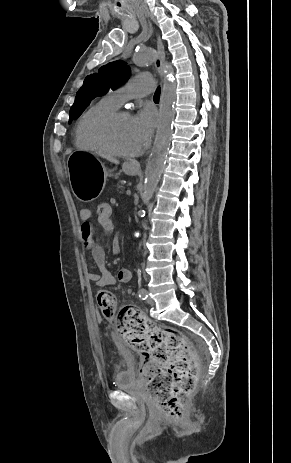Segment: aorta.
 Returning a JSON list of instances; mask_svg holds the SVG:
<instances>
[{"label": "aorta", "mask_w": 291, "mask_h": 463, "mask_svg": "<svg viewBox=\"0 0 291 463\" xmlns=\"http://www.w3.org/2000/svg\"><path fill=\"white\" fill-rule=\"evenodd\" d=\"M155 59V49L145 48L134 55L133 62L137 66H145L152 64ZM164 72L166 78L160 101L159 123L145 170L142 195L144 203L148 202L153 197L159 178L164 169L171 141L172 124L175 117L174 104L176 101V83L172 79L174 70L170 65H166ZM138 235L139 233H136V236Z\"/></svg>", "instance_id": "1"}]
</instances>
